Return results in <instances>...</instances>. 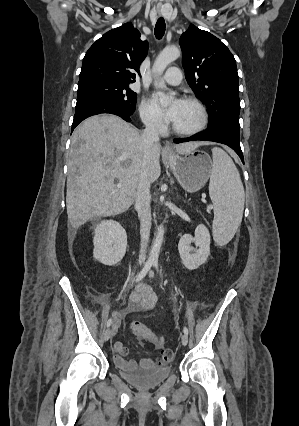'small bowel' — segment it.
I'll use <instances>...</instances> for the list:
<instances>
[{"label":"small bowel","mask_w":299,"mask_h":426,"mask_svg":"<svg viewBox=\"0 0 299 426\" xmlns=\"http://www.w3.org/2000/svg\"><path fill=\"white\" fill-rule=\"evenodd\" d=\"M157 304V296L153 290L140 283L137 285L134 292L131 294L130 303L125 312H114V322H113V331L117 332L121 325V319L127 313L147 311L155 307ZM114 363L119 369L123 370H132L138 367L141 368H151L157 367L162 364L168 363L172 358V352L170 350H162L161 354L157 358H144L139 362L135 360H128V350L122 343L117 342L114 345Z\"/></svg>","instance_id":"c3829d8e"}]
</instances>
